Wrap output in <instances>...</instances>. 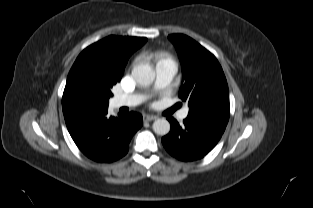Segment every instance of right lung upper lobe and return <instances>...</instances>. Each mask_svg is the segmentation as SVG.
<instances>
[{
    "label": "right lung upper lobe",
    "instance_id": "right-lung-upper-lobe-1",
    "mask_svg": "<svg viewBox=\"0 0 313 208\" xmlns=\"http://www.w3.org/2000/svg\"><path fill=\"white\" fill-rule=\"evenodd\" d=\"M146 41L143 37L111 35L84 49L68 74L62 106L87 104L82 97L84 86L120 81L129 57Z\"/></svg>",
    "mask_w": 313,
    "mask_h": 208
}]
</instances>
